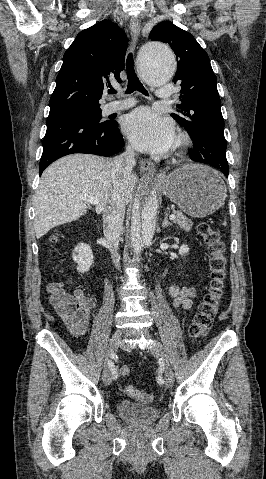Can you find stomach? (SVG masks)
<instances>
[{"label": "stomach", "instance_id": "1", "mask_svg": "<svg viewBox=\"0 0 266 479\" xmlns=\"http://www.w3.org/2000/svg\"><path fill=\"white\" fill-rule=\"evenodd\" d=\"M160 186L183 212L196 218L215 212L224 203L227 192L219 172L198 164L173 171Z\"/></svg>", "mask_w": 266, "mask_h": 479}]
</instances>
